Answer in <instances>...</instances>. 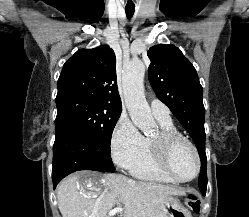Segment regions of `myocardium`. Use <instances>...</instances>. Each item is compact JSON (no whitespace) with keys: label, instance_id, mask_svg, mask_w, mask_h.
<instances>
[{"label":"myocardium","instance_id":"myocardium-1","mask_svg":"<svg viewBox=\"0 0 249 217\" xmlns=\"http://www.w3.org/2000/svg\"><path fill=\"white\" fill-rule=\"evenodd\" d=\"M179 142H184L191 148L196 160L195 173L189 178H182L178 176L171 166V152L173 147ZM152 148L160 168L173 180L177 182H189L198 176L201 170V159L198 149L194 143L183 134L177 131L161 130L152 139Z\"/></svg>","mask_w":249,"mask_h":217}]
</instances>
